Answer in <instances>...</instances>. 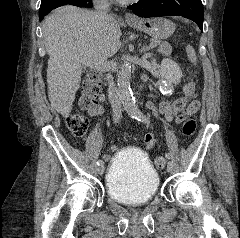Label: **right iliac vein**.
Masks as SVG:
<instances>
[{"label": "right iliac vein", "instance_id": "right-iliac-vein-1", "mask_svg": "<svg viewBox=\"0 0 240 238\" xmlns=\"http://www.w3.org/2000/svg\"><path fill=\"white\" fill-rule=\"evenodd\" d=\"M104 170H105V167L103 165H100L97 168V172H98L99 175H102L104 173Z\"/></svg>", "mask_w": 240, "mask_h": 238}]
</instances>
